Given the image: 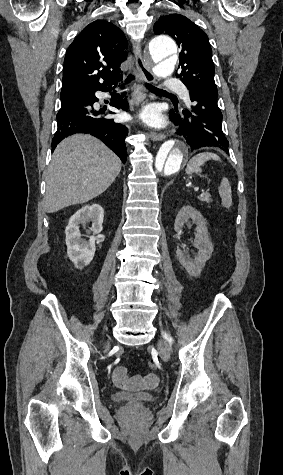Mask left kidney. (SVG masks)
<instances>
[{"label": "left kidney", "mask_w": 283, "mask_h": 475, "mask_svg": "<svg viewBox=\"0 0 283 475\" xmlns=\"http://www.w3.org/2000/svg\"><path fill=\"white\" fill-rule=\"evenodd\" d=\"M190 218L193 224L197 226L194 245L198 247L199 251L194 259H191L189 255H186V249H181V247H185V245H180V247L176 249V257L179 259L181 265L187 269L189 275L199 277L207 259H209L213 251V243L208 238V230L202 214H200L198 210H195V208H192V206H183V208L179 210L174 224L175 232H178V234L182 232L184 224H186Z\"/></svg>", "instance_id": "1"}]
</instances>
